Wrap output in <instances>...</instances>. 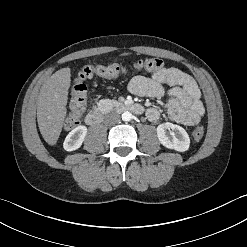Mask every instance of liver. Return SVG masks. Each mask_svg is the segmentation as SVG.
I'll return each mask as SVG.
<instances>
[{"mask_svg":"<svg viewBox=\"0 0 247 247\" xmlns=\"http://www.w3.org/2000/svg\"><path fill=\"white\" fill-rule=\"evenodd\" d=\"M70 68L56 71L43 84L37 104V122L40 133L49 145H55L67 114Z\"/></svg>","mask_w":247,"mask_h":247,"instance_id":"liver-1","label":"liver"}]
</instances>
